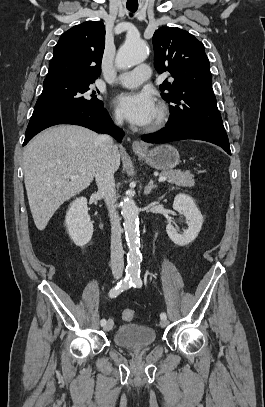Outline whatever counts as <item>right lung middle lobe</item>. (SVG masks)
Wrapping results in <instances>:
<instances>
[{"label": "right lung middle lobe", "instance_id": "right-lung-middle-lobe-1", "mask_svg": "<svg viewBox=\"0 0 265 407\" xmlns=\"http://www.w3.org/2000/svg\"><path fill=\"white\" fill-rule=\"evenodd\" d=\"M94 82L95 80L74 78L45 79L42 94L37 100L28 125L64 112L102 108L103 102L97 98L99 91L93 90L91 86Z\"/></svg>", "mask_w": 265, "mask_h": 407}]
</instances>
